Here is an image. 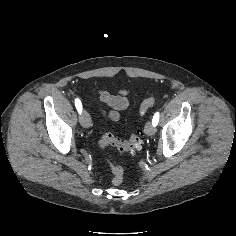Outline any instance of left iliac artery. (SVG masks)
<instances>
[{
	"instance_id": "left-iliac-artery-1",
	"label": "left iliac artery",
	"mask_w": 236,
	"mask_h": 236,
	"mask_svg": "<svg viewBox=\"0 0 236 236\" xmlns=\"http://www.w3.org/2000/svg\"><path fill=\"white\" fill-rule=\"evenodd\" d=\"M158 122H159V112H156V113L154 114V116H153L152 124H153L154 126H156V125L158 124Z\"/></svg>"
}]
</instances>
